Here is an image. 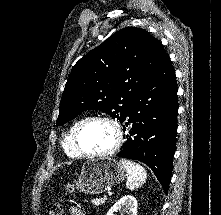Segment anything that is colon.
I'll return each instance as SVG.
<instances>
[{
  "mask_svg": "<svg viewBox=\"0 0 221 215\" xmlns=\"http://www.w3.org/2000/svg\"><path fill=\"white\" fill-rule=\"evenodd\" d=\"M67 189L69 191L73 190L72 185H68ZM48 215H63V207L59 203H51L47 208Z\"/></svg>",
  "mask_w": 221,
  "mask_h": 215,
  "instance_id": "1",
  "label": "colon"
}]
</instances>
